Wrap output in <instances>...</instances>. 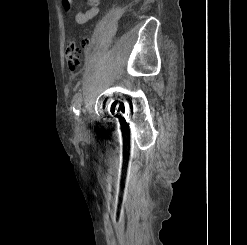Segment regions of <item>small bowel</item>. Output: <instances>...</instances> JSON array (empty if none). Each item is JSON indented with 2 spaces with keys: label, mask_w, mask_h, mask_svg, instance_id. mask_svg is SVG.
<instances>
[{
  "label": "small bowel",
  "mask_w": 247,
  "mask_h": 245,
  "mask_svg": "<svg viewBox=\"0 0 247 245\" xmlns=\"http://www.w3.org/2000/svg\"><path fill=\"white\" fill-rule=\"evenodd\" d=\"M73 0H62V4L66 10L71 8ZM89 8L84 11H77L74 14V20L77 24H86L91 19L95 18L99 13L100 0H88Z\"/></svg>",
  "instance_id": "1"
}]
</instances>
